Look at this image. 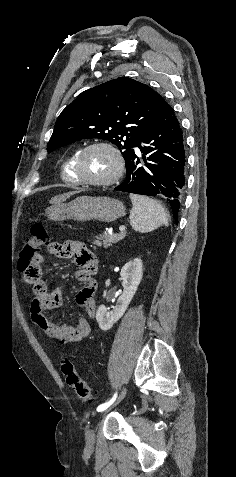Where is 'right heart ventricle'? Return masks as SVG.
<instances>
[{"instance_id": "obj_1", "label": "right heart ventricle", "mask_w": 236, "mask_h": 477, "mask_svg": "<svg viewBox=\"0 0 236 477\" xmlns=\"http://www.w3.org/2000/svg\"><path fill=\"white\" fill-rule=\"evenodd\" d=\"M80 152L79 149L74 150L63 162L61 167V178L62 180L70 185H78L79 182L75 176L73 165L74 161Z\"/></svg>"}]
</instances>
